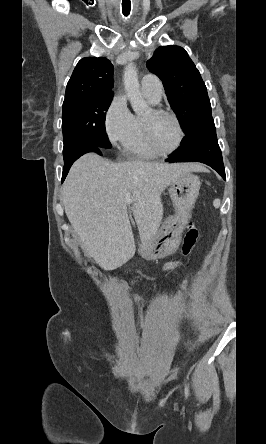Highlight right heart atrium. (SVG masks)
<instances>
[{"mask_svg": "<svg viewBox=\"0 0 266 444\" xmlns=\"http://www.w3.org/2000/svg\"><path fill=\"white\" fill-rule=\"evenodd\" d=\"M132 114L127 107L122 94H116L112 99L104 118V130L112 145L122 144L128 134Z\"/></svg>", "mask_w": 266, "mask_h": 444, "instance_id": "obj_1", "label": "right heart atrium"}]
</instances>
